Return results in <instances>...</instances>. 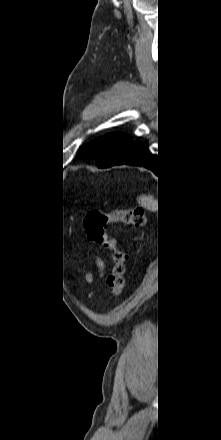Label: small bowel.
Here are the masks:
<instances>
[{"label":"small bowel","mask_w":221,"mask_h":440,"mask_svg":"<svg viewBox=\"0 0 221 440\" xmlns=\"http://www.w3.org/2000/svg\"><path fill=\"white\" fill-rule=\"evenodd\" d=\"M97 266H98L100 274L102 275L103 272H104V264H103V262L101 260H98L97 261ZM87 279H89L88 276H87Z\"/></svg>","instance_id":"1"}]
</instances>
